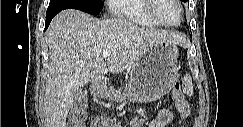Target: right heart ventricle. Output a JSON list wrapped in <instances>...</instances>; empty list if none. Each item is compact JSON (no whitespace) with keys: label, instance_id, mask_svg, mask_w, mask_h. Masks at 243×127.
<instances>
[{"label":"right heart ventricle","instance_id":"right-heart-ventricle-1","mask_svg":"<svg viewBox=\"0 0 243 127\" xmlns=\"http://www.w3.org/2000/svg\"><path fill=\"white\" fill-rule=\"evenodd\" d=\"M110 11L114 17L136 26L145 28L160 26L150 17L147 0H111Z\"/></svg>","mask_w":243,"mask_h":127}]
</instances>
